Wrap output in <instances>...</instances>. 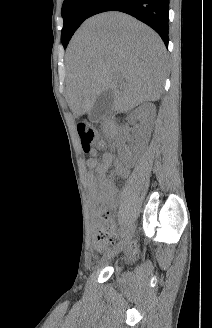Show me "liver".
Returning a JSON list of instances; mask_svg holds the SVG:
<instances>
[{"label": "liver", "mask_w": 212, "mask_h": 328, "mask_svg": "<svg viewBox=\"0 0 212 328\" xmlns=\"http://www.w3.org/2000/svg\"><path fill=\"white\" fill-rule=\"evenodd\" d=\"M166 49L147 25L119 12L87 19L66 57V100L74 117L88 112L111 89L114 110L127 112L162 93Z\"/></svg>", "instance_id": "obj_1"}]
</instances>
